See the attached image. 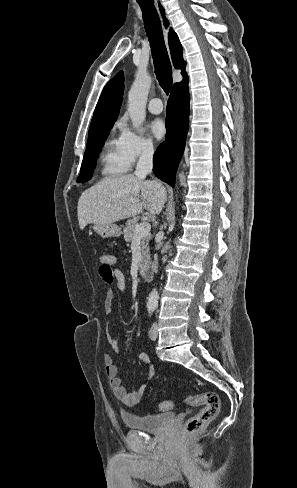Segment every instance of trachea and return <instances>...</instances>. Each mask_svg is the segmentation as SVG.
<instances>
[{
	"label": "trachea",
	"mask_w": 297,
	"mask_h": 488,
	"mask_svg": "<svg viewBox=\"0 0 297 488\" xmlns=\"http://www.w3.org/2000/svg\"><path fill=\"white\" fill-rule=\"evenodd\" d=\"M141 7L144 26L150 42L156 78L166 94L172 86V67L165 46L158 13L152 2L137 0Z\"/></svg>",
	"instance_id": "1"
}]
</instances>
